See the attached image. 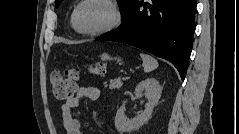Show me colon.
<instances>
[{"label": "colon", "mask_w": 239, "mask_h": 134, "mask_svg": "<svg viewBox=\"0 0 239 134\" xmlns=\"http://www.w3.org/2000/svg\"><path fill=\"white\" fill-rule=\"evenodd\" d=\"M106 70L104 63H97L90 68L93 75H102ZM79 72L77 69L71 68L64 72L54 71L51 74V87L54 96L58 99L71 98L77 89V80Z\"/></svg>", "instance_id": "colon-1"}]
</instances>
